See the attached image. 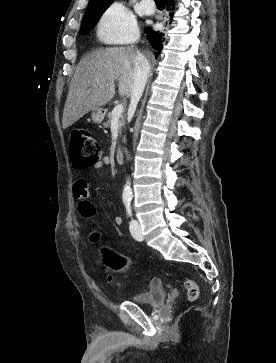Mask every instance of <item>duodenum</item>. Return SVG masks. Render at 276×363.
I'll use <instances>...</instances> for the list:
<instances>
[{
  "instance_id": "duodenum-1",
  "label": "duodenum",
  "mask_w": 276,
  "mask_h": 363,
  "mask_svg": "<svg viewBox=\"0 0 276 363\" xmlns=\"http://www.w3.org/2000/svg\"><path fill=\"white\" fill-rule=\"evenodd\" d=\"M125 158V154L123 150H117L116 151V161L118 163H123Z\"/></svg>"
}]
</instances>
